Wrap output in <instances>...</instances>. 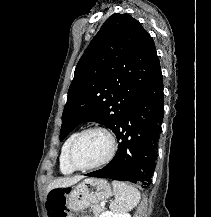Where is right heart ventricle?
Instances as JSON below:
<instances>
[{"mask_svg":"<svg viewBox=\"0 0 211 217\" xmlns=\"http://www.w3.org/2000/svg\"><path fill=\"white\" fill-rule=\"evenodd\" d=\"M78 132H73L71 133L66 140L64 141L62 147H61V152H60V157H59V169L61 173L65 175L72 174L75 169L72 168L68 162V150L70 147L71 142L73 139L76 137Z\"/></svg>","mask_w":211,"mask_h":217,"instance_id":"e07e8e85","label":"right heart ventricle"}]
</instances>
